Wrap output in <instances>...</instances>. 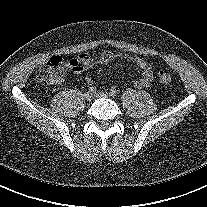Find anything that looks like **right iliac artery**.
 Listing matches in <instances>:
<instances>
[{"mask_svg":"<svg viewBox=\"0 0 207 207\" xmlns=\"http://www.w3.org/2000/svg\"><path fill=\"white\" fill-rule=\"evenodd\" d=\"M96 91H97L96 87L92 86L89 88V92H91V93H96Z\"/></svg>","mask_w":207,"mask_h":207,"instance_id":"82829eb1","label":"right iliac artery"}]
</instances>
